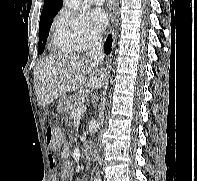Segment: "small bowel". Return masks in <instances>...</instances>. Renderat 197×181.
I'll return each instance as SVG.
<instances>
[{
    "mask_svg": "<svg viewBox=\"0 0 197 181\" xmlns=\"http://www.w3.org/2000/svg\"><path fill=\"white\" fill-rule=\"evenodd\" d=\"M56 154L51 152L49 155V164L52 170V174H51L52 181H58V173H57L58 162L56 159ZM59 155L64 160L61 166L60 176L64 181H71L74 176V166L73 163L69 160V156H70L69 147L67 145H63V147L59 152Z\"/></svg>",
    "mask_w": 197,
    "mask_h": 181,
    "instance_id": "c3829d8e",
    "label": "small bowel"
}]
</instances>
